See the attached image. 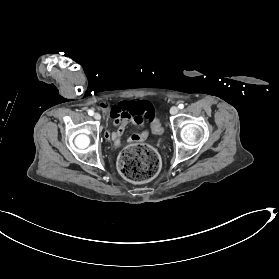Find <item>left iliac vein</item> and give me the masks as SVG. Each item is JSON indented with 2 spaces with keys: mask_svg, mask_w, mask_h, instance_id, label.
Instances as JSON below:
<instances>
[{
  "mask_svg": "<svg viewBox=\"0 0 279 279\" xmlns=\"http://www.w3.org/2000/svg\"><path fill=\"white\" fill-rule=\"evenodd\" d=\"M178 111H179L178 107L177 106H173L170 109V114L175 115V114L178 113Z\"/></svg>",
  "mask_w": 279,
  "mask_h": 279,
  "instance_id": "4c4485c4",
  "label": "left iliac vein"
}]
</instances>
